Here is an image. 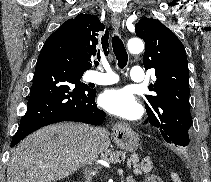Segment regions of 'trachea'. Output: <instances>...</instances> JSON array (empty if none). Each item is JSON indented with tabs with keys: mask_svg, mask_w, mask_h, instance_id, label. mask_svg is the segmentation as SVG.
I'll return each instance as SVG.
<instances>
[{
	"mask_svg": "<svg viewBox=\"0 0 211 182\" xmlns=\"http://www.w3.org/2000/svg\"><path fill=\"white\" fill-rule=\"evenodd\" d=\"M112 47H113L114 55L116 56V59L118 61V67L123 69L127 65L128 54L119 36L115 35L112 38ZM95 65L98 66L99 62H95Z\"/></svg>",
	"mask_w": 211,
	"mask_h": 182,
	"instance_id": "obj_1",
	"label": "trachea"
}]
</instances>
